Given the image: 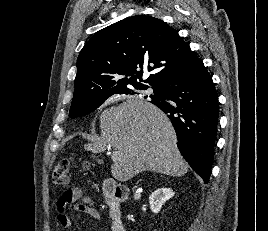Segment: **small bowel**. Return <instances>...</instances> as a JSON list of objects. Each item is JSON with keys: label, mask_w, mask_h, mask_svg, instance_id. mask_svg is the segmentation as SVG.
Instances as JSON below:
<instances>
[{"label": "small bowel", "mask_w": 268, "mask_h": 231, "mask_svg": "<svg viewBox=\"0 0 268 231\" xmlns=\"http://www.w3.org/2000/svg\"><path fill=\"white\" fill-rule=\"evenodd\" d=\"M57 222L62 229L72 227L70 213L81 212L94 219L99 218V212L95 207L94 200L86 195L79 187H70L66 189L56 202Z\"/></svg>", "instance_id": "obj_1"}]
</instances>
